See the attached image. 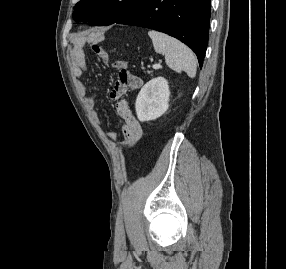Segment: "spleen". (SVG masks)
<instances>
[{
    "instance_id": "obj_1",
    "label": "spleen",
    "mask_w": 286,
    "mask_h": 269,
    "mask_svg": "<svg viewBox=\"0 0 286 269\" xmlns=\"http://www.w3.org/2000/svg\"><path fill=\"white\" fill-rule=\"evenodd\" d=\"M153 47L157 53L165 56L166 64L174 71H182L190 78H194L197 70V60L186 45L164 33L151 30L148 32Z\"/></svg>"
}]
</instances>
